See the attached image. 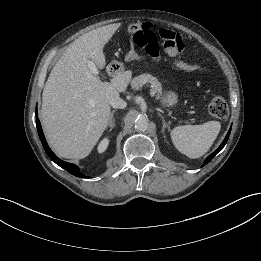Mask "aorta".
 <instances>
[{
    "label": "aorta",
    "mask_w": 261,
    "mask_h": 261,
    "mask_svg": "<svg viewBox=\"0 0 261 261\" xmlns=\"http://www.w3.org/2000/svg\"><path fill=\"white\" fill-rule=\"evenodd\" d=\"M149 120L147 117L141 116L136 118L134 127L137 131H146L148 129Z\"/></svg>",
    "instance_id": "762f6f07"
}]
</instances>
